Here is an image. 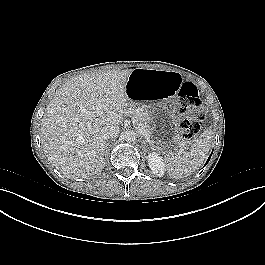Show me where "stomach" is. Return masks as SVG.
<instances>
[{"instance_id": "1", "label": "stomach", "mask_w": 265, "mask_h": 265, "mask_svg": "<svg viewBox=\"0 0 265 265\" xmlns=\"http://www.w3.org/2000/svg\"><path fill=\"white\" fill-rule=\"evenodd\" d=\"M180 76L173 71L137 68L126 83L129 102L141 103V125L150 151L166 155L175 150L179 135L175 126L176 108L172 99Z\"/></svg>"}]
</instances>
